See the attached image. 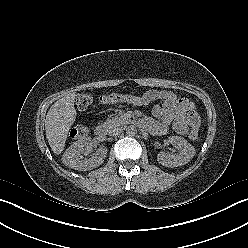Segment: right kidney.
<instances>
[{"mask_svg": "<svg viewBox=\"0 0 248 248\" xmlns=\"http://www.w3.org/2000/svg\"><path fill=\"white\" fill-rule=\"evenodd\" d=\"M92 146L90 137H85L74 142L63 154L62 162L78 171L92 170L104 162L107 149H98L91 158H84L85 153Z\"/></svg>", "mask_w": 248, "mask_h": 248, "instance_id": "obj_1", "label": "right kidney"}]
</instances>
